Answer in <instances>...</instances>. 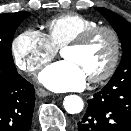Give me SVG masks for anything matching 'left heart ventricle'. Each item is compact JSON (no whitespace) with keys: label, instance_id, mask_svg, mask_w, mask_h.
Wrapping results in <instances>:
<instances>
[{"label":"left heart ventricle","instance_id":"b2bd125f","mask_svg":"<svg viewBox=\"0 0 131 131\" xmlns=\"http://www.w3.org/2000/svg\"><path fill=\"white\" fill-rule=\"evenodd\" d=\"M113 41L108 33L96 34L84 47L62 51V57L76 63L87 78L102 73L112 58Z\"/></svg>","mask_w":131,"mask_h":131}]
</instances>
